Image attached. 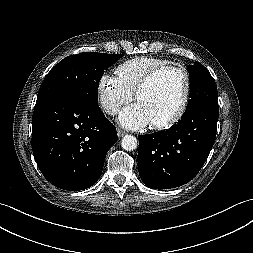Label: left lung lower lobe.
Returning a JSON list of instances; mask_svg holds the SVG:
<instances>
[{
    "mask_svg": "<svg viewBox=\"0 0 253 253\" xmlns=\"http://www.w3.org/2000/svg\"><path fill=\"white\" fill-rule=\"evenodd\" d=\"M218 105L201 104L169 129L139 137L138 170L152 189L186 184L200 171L216 138Z\"/></svg>",
    "mask_w": 253,
    "mask_h": 253,
    "instance_id": "0a47b994",
    "label": "left lung lower lobe"
}]
</instances>
